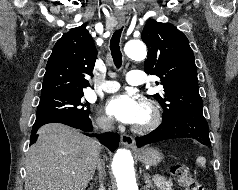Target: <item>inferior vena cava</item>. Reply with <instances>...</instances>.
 Wrapping results in <instances>:
<instances>
[{"instance_id":"1","label":"inferior vena cava","mask_w":238,"mask_h":190,"mask_svg":"<svg viewBox=\"0 0 238 190\" xmlns=\"http://www.w3.org/2000/svg\"><path fill=\"white\" fill-rule=\"evenodd\" d=\"M97 124L100 127V129H102L103 131H111L114 129L113 122L111 119H107V118L98 119ZM97 168L99 170L100 177L102 179L103 174L105 173V170H104V164L99 158L97 159ZM101 187H102V182H101Z\"/></svg>"}]
</instances>
